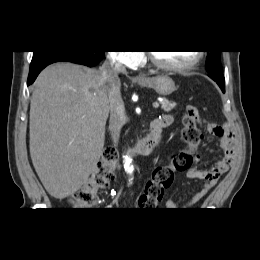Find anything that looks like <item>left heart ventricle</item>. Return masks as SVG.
I'll list each match as a JSON object with an SVG mask.
<instances>
[{
    "instance_id": "b2bd125f",
    "label": "left heart ventricle",
    "mask_w": 260,
    "mask_h": 260,
    "mask_svg": "<svg viewBox=\"0 0 260 260\" xmlns=\"http://www.w3.org/2000/svg\"><path fill=\"white\" fill-rule=\"evenodd\" d=\"M155 56L170 65H182L191 62L197 55L195 51H157Z\"/></svg>"
}]
</instances>
